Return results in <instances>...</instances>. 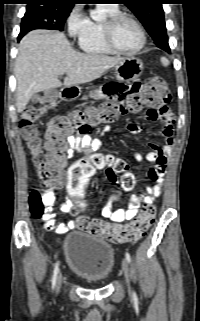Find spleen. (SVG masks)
I'll return each instance as SVG.
<instances>
[{"mask_svg": "<svg viewBox=\"0 0 200 321\" xmlns=\"http://www.w3.org/2000/svg\"><path fill=\"white\" fill-rule=\"evenodd\" d=\"M160 61L164 67H167L170 64L169 60L166 57H161Z\"/></svg>", "mask_w": 200, "mask_h": 321, "instance_id": "spleen-1", "label": "spleen"}]
</instances>
